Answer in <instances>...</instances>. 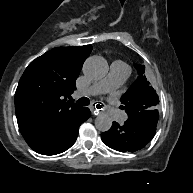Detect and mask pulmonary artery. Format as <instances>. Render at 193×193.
<instances>
[{
    "label": "pulmonary artery",
    "mask_w": 193,
    "mask_h": 193,
    "mask_svg": "<svg viewBox=\"0 0 193 193\" xmlns=\"http://www.w3.org/2000/svg\"><path fill=\"white\" fill-rule=\"evenodd\" d=\"M130 73V67L123 62H114L111 65L109 75L100 82L92 85L84 93L89 96L101 95L108 91L117 89ZM109 113L112 120L122 124L125 117L118 108H110Z\"/></svg>",
    "instance_id": "e3ab8cb5"
}]
</instances>
